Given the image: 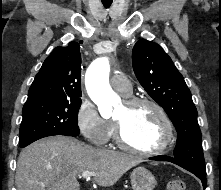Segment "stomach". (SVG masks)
<instances>
[{
  "instance_id": "obj_1",
  "label": "stomach",
  "mask_w": 221,
  "mask_h": 190,
  "mask_svg": "<svg viewBox=\"0 0 221 190\" xmlns=\"http://www.w3.org/2000/svg\"><path fill=\"white\" fill-rule=\"evenodd\" d=\"M130 179L133 190H153L156 185L154 175L145 167L135 168Z\"/></svg>"
}]
</instances>
